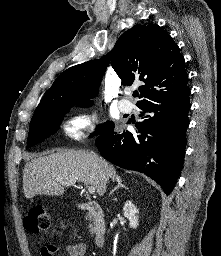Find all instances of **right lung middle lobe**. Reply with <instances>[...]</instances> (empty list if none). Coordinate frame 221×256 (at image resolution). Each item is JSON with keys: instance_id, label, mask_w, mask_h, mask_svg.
I'll use <instances>...</instances> for the list:
<instances>
[{"instance_id": "right-lung-middle-lobe-1", "label": "right lung middle lobe", "mask_w": 221, "mask_h": 256, "mask_svg": "<svg viewBox=\"0 0 221 256\" xmlns=\"http://www.w3.org/2000/svg\"><path fill=\"white\" fill-rule=\"evenodd\" d=\"M79 103V106H91V102H70L66 99H58L44 106L38 107L31 119L30 131L27 139V147L33 146L38 142H42L50 134H54L59 128L64 115L71 107ZM113 126V123L108 121L103 125H99L96 131L90 135H100Z\"/></svg>"}]
</instances>
